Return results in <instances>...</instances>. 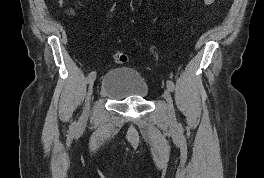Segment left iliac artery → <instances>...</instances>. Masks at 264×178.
Wrapping results in <instances>:
<instances>
[{"label": "left iliac artery", "instance_id": "44dca946", "mask_svg": "<svg viewBox=\"0 0 264 178\" xmlns=\"http://www.w3.org/2000/svg\"><path fill=\"white\" fill-rule=\"evenodd\" d=\"M167 88H168L171 92H173V91H174V88H175L174 82L171 81V80H168V81H167Z\"/></svg>", "mask_w": 264, "mask_h": 178}]
</instances>
